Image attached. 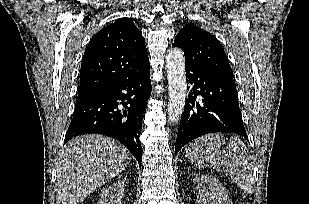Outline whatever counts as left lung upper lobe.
<instances>
[{
    "mask_svg": "<svg viewBox=\"0 0 309 204\" xmlns=\"http://www.w3.org/2000/svg\"><path fill=\"white\" fill-rule=\"evenodd\" d=\"M173 46L181 48L186 65L203 67L233 79L227 56L215 36L193 23L185 24L175 37Z\"/></svg>",
    "mask_w": 309,
    "mask_h": 204,
    "instance_id": "5c2ea615",
    "label": "left lung upper lobe"
}]
</instances>
